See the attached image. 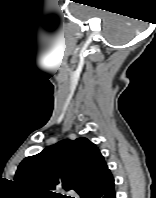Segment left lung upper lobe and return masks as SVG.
<instances>
[{
	"label": "left lung upper lobe",
	"instance_id": "5c2ea615",
	"mask_svg": "<svg viewBox=\"0 0 156 198\" xmlns=\"http://www.w3.org/2000/svg\"><path fill=\"white\" fill-rule=\"evenodd\" d=\"M97 146L87 138L62 140L18 166L15 181L28 198H64L55 190L73 189L79 195L108 171Z\"/></svg>",
	"mask_w": 156,
	"mask_h": 198
}]
</instances>
